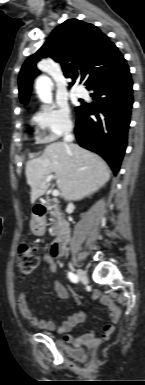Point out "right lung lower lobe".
<instances>
[{
    "label": "right lung lower lobe",
    "instance_id": "obj_1",
    "mask_svg": "<svg viewBox=\"0 0 145 385\" xmlns=\"http://www.w3.org/2000/svg\"><path fill=\"white\" fill-rule=\"evenodd\" d=\"M132 79L128 65L91 87L93 105L77 109L75 135L80 146L101 155L114 173L119 171L127 145L133 104ZM96 109V111H94ZM97 119H92L91 114Z\"/></svg>",
    "mask_w": 145,
    "mask_h": 385
}]
</instances>
